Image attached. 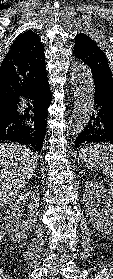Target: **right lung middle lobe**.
I'll list each match as a JSON object with an SVG mask.
<instances>
[{
	"instance_id": "dd1d6c3e",
	"label": "right lung middle lobe",
	"mask_w": 113,
	"mask_h": 279,
	"mask_svg": "<svg viewBox=\"0 0 113 279\" xmlns=\"http://www.w3.org/2000/svg\"><path fill=\"white\" fill-rule=\"evenodd\" d=\"M13 112V107L0 110V122L8 119Z\"/></svg>"
}]
</instances>
